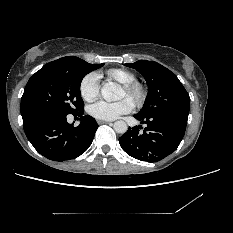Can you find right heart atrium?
<instances>
[{
    "mask_svg": "<svg viewBox=\"0 0 233 233\" xmlns=\"http://www.w3.org/2000/svg\"><path fill=\"white\" fill-rule=\"evenodd\" d=\"M79 89L84 100L89 102L95 100L100 90L98 76L94 73H89L84 76Z\"/></svg>",
    "mask_w": 233,
    "mask_h": 233,
    "instance_id": "right-heart-atrium-1",
    "label": "right heart atrium"
}]
</instances>
